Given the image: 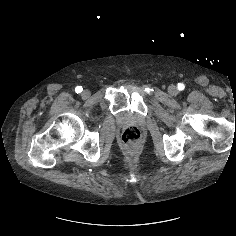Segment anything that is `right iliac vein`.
<instances>
[{"label": "right iliac vein", "mask_w": 236, "mask_h": 236, "mask_svg": "<svg viewBox=\"0 0 236 236\" xmlns=\"http://www.w3.org/2000/svg\"><path fill=\"white\" fill-rule=\"evenodd\" d=\"M91 95L89 90H84L81 94L83 99H87Z\"/></svg>", "instance_id": "obj_1"}]
</instances>
